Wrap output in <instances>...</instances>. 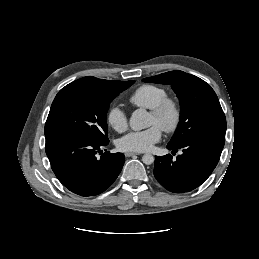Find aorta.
I'll return each instance as SVG.
<instances>
[{"mask_svg":"<svg viewBox=\"0 0 259 259\" xmlns=\"http://www.w3.org/2000/svg\"><path fill=\"white\" fill-rule=\"evenodd\" d=\"M130 127L134 131H140L150 126V117L146 110L137 109L135 110L129 120ZM144 164H152L154 162V156L152 154H144L142 157Z\"/></svg>","mask_w":259,"mask_h":259,"instance_id":"aorta-1","label":"aorta"}]
</instances>
